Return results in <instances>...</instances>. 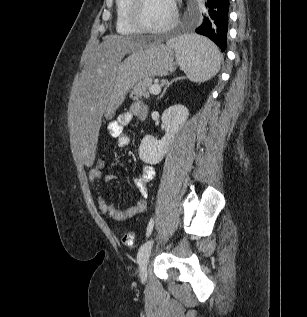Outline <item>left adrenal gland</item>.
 Wrapping results in <instances>:
<instances>
[{"label": "left adrenal gland", "mask_w": 307, "mask_h": 317, "mask_svg": "<svg viewBox=\"0 0 307 317\" xmlns=\"http://www.w3.org/2000/svg\"><path fill=\"white\" fill-rule=\"evenodd\" d=\"M178 79H181V78H176V79L172 80L171 82H169V83L166 85V87L164 88L163 93L161 94L160 98L163 97V95L165 94L167 88H168L170 85H172V83H173L174 81H177Z\"/></svg>", "instance_id": "obj_1"}]
</instances>
